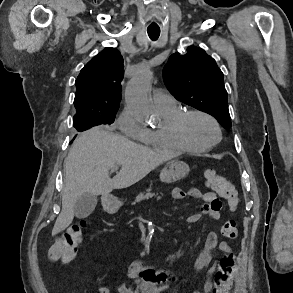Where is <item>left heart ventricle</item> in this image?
Returning <instances> with one entry per match:
<instances>
[{"mask_svg":"<svg viewBox=\"0 0 293 293\" xmlns=\"http://www.w3.org/2000/svg\"><path fill=\"white\" fill-rule=\"evenodd\" d=\"M185 131L187 138L196 145H205L217 138L214 125L198 115L190 116L187 119Z\"/></svg>","mask_w":293,"mask_h":293,"instance_id":"1","label":"left heart ventricle"}]
</instances>
